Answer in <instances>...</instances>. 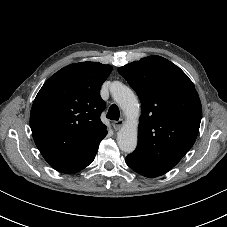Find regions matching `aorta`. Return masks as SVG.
I'll use <instances>...</instances> for the list:
<instances>
[{
  "label": "aorta",
  "instance_id": "762f6f07",
  "mask_svg": "<svg viewBox=\"0 0 227 227\" xmlns=\"http://www.w3.org/2000/svg\"><path fill=\"white\" fill-rule=\"evenodd\" d=\"M112 96L127 117L126 124L117 134V143L125 153H131L137 146L138 118L140 106L134 92L120 82H113L110 88Z\"/></svg>",
  "mask_w": 227,
  "mask_h": 227
}]
</instances>
